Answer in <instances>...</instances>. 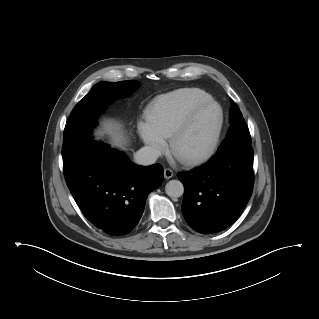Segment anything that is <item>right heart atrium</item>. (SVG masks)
Segmentation results:
<instances>
[{"label":"right heart atrium","mask_w":319,"mask_h":319,"mask_svg":"<svg viewBox=\"0 0 319 319\" xmlns=\"http://www.w3.org/2000/svg\"><path fill=\"white\" fill-rule=\"evenodd\" d=\"M138 132L143 142L151 149L154 154H161L166 149V140L148 122L138 123Z\"/></svg>","instance_id":"obj_1"}]
</instances>
